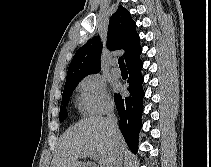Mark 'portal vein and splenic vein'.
I'll use <instances>...</instances> for the list:
<instances>
[{"label":"portal vein and splenic vein","instance_id":"1","mask_svg":"<svg viewBox=\"0 0 211 167\" xmlns=\"http://www.w3.org/2000/svg\"><path fill=\"white\" fill-rule=\"evenodd\" d=\"M90 157V158H92V159H94V160H99V154L98 153H95V152H92V153H89V154H86V155H84V156H82V157Z\"/></svg>","mask_w":211,"mask_h":167}]
</instances>
